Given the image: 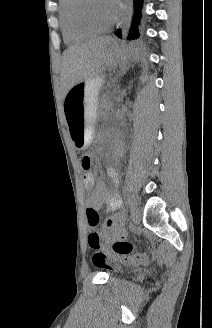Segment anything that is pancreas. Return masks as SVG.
Segmentation results:
<instances>
[{
  "label": "pancreas",
  "mask_w": 212,
  "mask_h": 328,
  "mask_svg": "<svg viewBox=\"0 0 212 328\" xmlns=\"http://www.w3.org/2000/svg\"><path fill=\"white\" fill-rule=\"evenodd\" d=\"M100 107L103 108V109H109L110 108V103H109L108 98H103V100L100 104Z\"/></svg>",
  "instance_id": "1"
}]
</instances>
